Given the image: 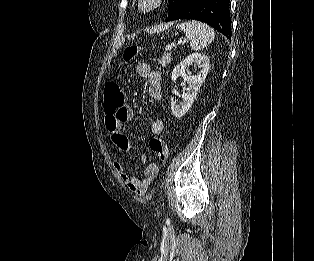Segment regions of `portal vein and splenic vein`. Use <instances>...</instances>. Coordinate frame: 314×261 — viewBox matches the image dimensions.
I'll return each instance as SVG.
<instances>
[{
	"mask_svg": "<svg viewBox=\"0 0 314 261\" xmlns=\"http://www.w3.org/2000/svg\"><path fill=\"white\" fill-rule=\"evenodd\" d=\"M172 47H173V44L166 46V49H167V50H171Z\"/></svg>",
	"mask_w": 314,
	"mask_h": 261,
	"instance_id": "obj_1",
	"label": "portal vein and splenic vein"
}]
</instances>
